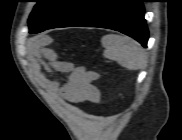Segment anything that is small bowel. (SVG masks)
Masks as SVG:
<instances>
[{
  "instance_id": "c3829d8e",
  "label": "small bowel",
  "mask_w": 182,
  "mask_h": 140,
  "mask_svg": "<svg viewBox=\"0 0 182 140\" xmlns=\"http://www.w3.org/2000/svg\"><path fill=\"white\" fill-rule=\"evenodd\" d=\"M43 57L56 71L68 73L65 81L60 82L57 79H49L38 70L37 79L49 93L73 104L85 101L96 103L99 101L100 91L94 84L99 78L98 73L87 70L83 66L76 67L71 62L59 60L57 53L52 49H45Z\"/></svg>"
}]
</instances>
